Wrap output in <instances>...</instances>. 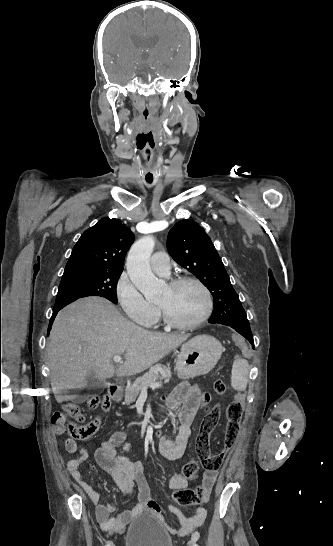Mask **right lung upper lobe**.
Returning a JSON list of instances; mask_svg holds the SVG:
<instances>
[{"label":"right lung upper lobe","mask_w":333,"mask_h":546,"mask_svg":"<svg viewBox=\"0 0 333 546\" xmlns=\"http://www.w3.org/2000/svg\"><path fill=\"white\" fill-rule=\"evenodd\" d=\"M134 234L119 219L103 218L86 230L74 246L63 275L98 270H123Z\"/></svg>","instance_id":"cb5924a9"}]
</instances>
